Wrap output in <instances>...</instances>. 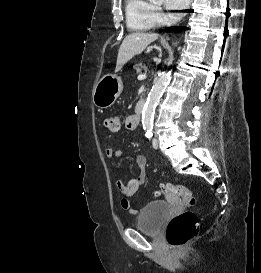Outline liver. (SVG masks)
Instances as JSON below:
<instances>
[{
	"instance_id": "obj_1",
	"label": "liver",
	"mask_w": 261,
	"mask_h": 273,
	"mask_svg": "<svg viewBox=\"0 0 261 273\" xmlns=\"http://www.w3.org/2000/svg\"><path fill=\"white\" fill-rule=\"evenodd\" d=\"M158 39L156 33H131L123 40L117 56L115 71L118 72L125 63L135 55L141 54L152 42Z\"/></svg>"
}]
</instances>
